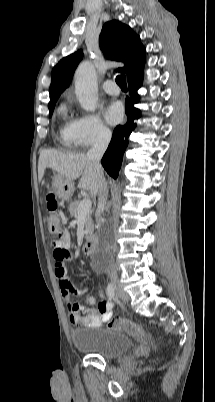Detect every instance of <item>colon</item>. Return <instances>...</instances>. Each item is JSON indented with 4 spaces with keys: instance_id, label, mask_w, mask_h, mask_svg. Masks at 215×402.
Returning <instances> with one entry per match:
<instances>
[{
    "instance_id": "obj_1",
    "label": "colon",
    "mask_w": 215,
    "mask_h": 402,
    "mask_svg": "<svg viewBox=\"0 0 215 402\" xmlns=\"http://www.w3.org/2000/svg\"><path fill=\"white\" fill-rule=\"evenodd\" d=\"M46 207L48 211L47 225L51 232L56 233L59 231L60 223L57 215L58 202L51 192L46 195ZM109 327L113 330L124 331L129 335L135 337H143L145 332L144 329L127 319L114 318L109 322Z\"/></svg>"
}]
</instances>
